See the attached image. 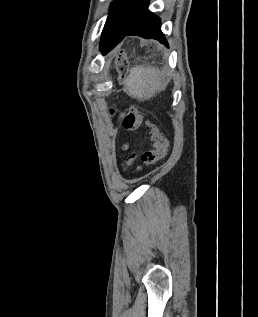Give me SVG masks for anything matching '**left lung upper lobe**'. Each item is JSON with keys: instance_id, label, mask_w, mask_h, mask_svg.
Listing matches in <instances>:
<instances>
[{"instance_id": "obj_1", "label": "left lung upper lobe", "mask_w": 258, "mask_h": 317, "mask_svg": "<svg viewBox=\"0 0 258 317\" xmlns=\"http://www.w3.org/2000/svg\"><path fill=\"white\" fill-rule=\"evenodd\" d=\"M132 0H115L111 3V10L104 28L121 29L124 27Z\"/></svg>"}]
</instances>
